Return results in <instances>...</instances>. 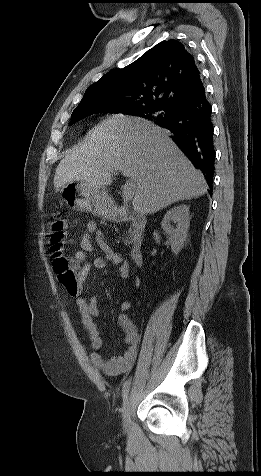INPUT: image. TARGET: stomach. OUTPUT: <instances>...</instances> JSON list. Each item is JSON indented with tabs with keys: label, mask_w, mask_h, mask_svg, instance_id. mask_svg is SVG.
<instances>
[{
	"label": "stomach",
	"mask_w": 261,
	"mask_h": 476,
	"mask_svg": "<svg viewBox=\"0 0 261 476\" xmlns=\"http://www.w3.org/2000/svg\"><path fill=\"white\" fill-rule=\"evenodd\" d=\"M67 205L83 212L111 219L115 210L113 201L105 188H98L83 181L72 182L61 189Z\"/></svg>",
	"instance_id": "1"
}]
</instances>
